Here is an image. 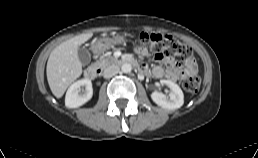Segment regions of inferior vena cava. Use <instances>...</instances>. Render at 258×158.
<instances>
[{"mask_svg":"<svg viewBox=\"0 0 258 158\" xmlns=\"http://www.w3.org/2000/svg\"><path fill=\"white\" fill-rule=\"evenodd\" d=\"M119 67L117 65H111L108 66L104 72H103V76L104 78H111L112 76L116 75L119 72Z\"/></svg>","mask_w":258,"mask_h":158,"instance_id":"602c4592","label":"inferior vena cava"}]
</instances>
